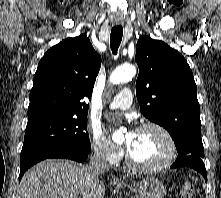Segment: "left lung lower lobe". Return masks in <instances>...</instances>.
I'll return each mask as SVG.
<instances>
[{"instance_id": "0a47b994", "label": "left lung lower lobe", "mask_w": 221, "mask_h": 198, "mask_svg": "<svg viewBox=\"0 0 221 198\" xmlns=\"http://www.w3.org/2000/svg\"><path fill=\"white\" fill-rule=\"evenodd\" d=\"M191 167L200 172L207 181V172L203 163V158L196 155L179 156L171 168Z\"/></svg>"}]
</instances>
